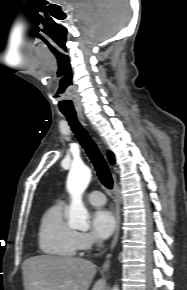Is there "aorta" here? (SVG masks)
<instances>
[{"label":"aorta","instance_id":"762f6f07","mask_svg":"<svg viewBox=\"0 0 187 290\" xmlns=\"http://www.w3.org/2000/svg\"><path fill=\"white\" fill-rule=\"evenodd\" d=\"M91 180V170L84 165L73 166L67 178V191L71 196L68 224L72 229H89L88 211L82 201V195ZM112 290H119L114 286Z\"/></svg>","mask_w":187,"mask_h":290}]
</instances>
